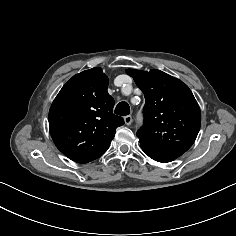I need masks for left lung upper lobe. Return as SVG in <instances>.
Returning a JSON list of instances; mask_svg holds the SVG:
<instances>
[{"instance_id":"1","label":"left lung upper lobe","mask_w":236,"mask_h":236,"mask_svg":"<svg viewBox=\"0 0 236 236\" xmlns=\"http://www.w3.org/2000/svg\"><path fill=\"white\" fill-rule=\"evenodd\" d=\"M145 96L144 124L137 132L141 147L186 152L201 125L199 105L189 87L160 70L127 69Z\"/></svg>"}]
</instances>
